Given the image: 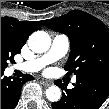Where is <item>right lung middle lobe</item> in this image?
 I'll use <instances>...</instances> for the list:
<instances>
[{"mask_svg": "<svg viewBox=\"0 0 109 109\" xmlns=\"http://www.w3.org/2000/svg\"><path fill=\"white\" fill-rule=\"evenodd\" d=\"M20 49H17L7 40L1 38V72L5 70L9 61H14V56L20 53Z\"/></svg>", "mask_w": 109, "mask_h": 109, "instance_id": "1", "label": "right lung middle lobe"}]
</instances>
